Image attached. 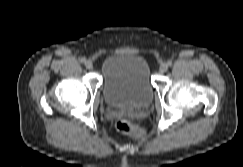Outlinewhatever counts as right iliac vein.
I'll return each mask as SVG.
<instances>
[{"label": "right iliac vein", "instance_id": "1", "mask_svg": "<svg viewBox=\"0 0 243 167\" xmlns=\"http://www.w3.org/2000/svg\"><path fill=\"white\" fill-rule=\"evenodd\" d=\"M85 66H86V68L87 69H92L93 68V63H92V61H90V60H88V61H86L85 62Z\"/></svg>", "mask_w": 243, "mask_h": 167}]
</instances>
